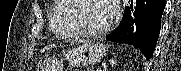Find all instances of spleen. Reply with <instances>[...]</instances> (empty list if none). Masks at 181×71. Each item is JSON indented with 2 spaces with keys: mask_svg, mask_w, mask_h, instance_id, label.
<instances>
[{
  "mask_svg": "<svg viewBox=\"0 0 181 71\" xmlns=\"http://www.w3.org/2000/svg\"><path fill=\"white\" fill-rule=\"evenodd\" d=\"M116 63H117V62H116V60H115V59L111 60V65H112V66H115V65H116Z\"/></svg>",
  "mask_w": 181,
  "mask_h": 71,
  "instance_id": "spleen-1",
  "label": "spleen"
}]
</instances>
